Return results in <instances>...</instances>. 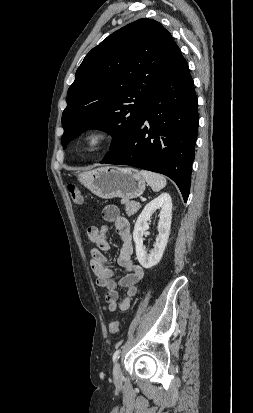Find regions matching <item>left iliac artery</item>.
Segmentation results:
<instances>
[{
	"mask_svg": "<svg viewBox=\"0 0 253 413\" xmlns=\"http://www.w3.org/2000/svg\"><path fill=\"white\" fill-rule=\"evenodd\" d=\"M120 356V349L116 350L113 354V362H115Z\"/></svg>",
	"mask_w": 253,
	"mask_h": 413,
	"instance_id": "obj_1",
	"label": "left iliac artery"
}]
</instances>
